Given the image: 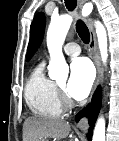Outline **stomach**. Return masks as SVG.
<instances>
[{
	"mask_svg": "<svg viewBox=\"0 0 119 141\" xmlns=\"http://www.w3.org/2000/svg\"><path fill=\"white\" fill-rule=\"evenodd\" d=\"M40 141H47L46 139L40 140Z\"/></svg>",
	"mask_w": 119,
	"mask_h": 141,
	"instance_id": "obj_1",
	"label": "stomach"
}]
</instances>
